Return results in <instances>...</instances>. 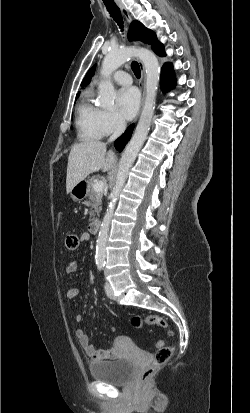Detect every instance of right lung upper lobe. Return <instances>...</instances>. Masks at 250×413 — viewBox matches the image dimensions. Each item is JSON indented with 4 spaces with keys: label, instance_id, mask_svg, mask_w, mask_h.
I'll use <instances>...</instances> for the list:
<instances>
[{
    "label": "right lung upper lobe",
    "instance_id": "1",
    "mask_svg": "<svg viewBox=\"0 0 250 413\" xmlns=\"http://www.w3.org/2000/svg\"><path fill=\"white\" fill-rule=\"evenodd\" d=\"M95 68H96V65H94V66L87 72V74H86L83 82L81 83L82 86H84V85H86V84L89 83L91 77H92V76L94 75V73H95ZM78 95H79V93L77 94V96H78Z\"/></svg>",
    "mask_w": 250,
    "mask_h": 413
}]
</instances>
